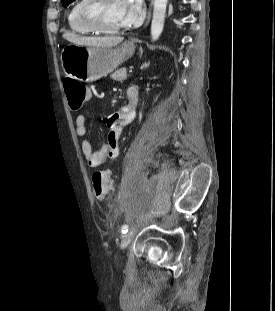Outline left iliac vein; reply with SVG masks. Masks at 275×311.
I'll return each instance as SVG.
<instances>
[{
	"label": "left iliac vein",
	"mask_w": 275,
	"mask_h": 311,
	"mask_svg": "<svg viewBox=\"0 0 275 311\" xmlns=\"http://www.w3.org/2000/svg\"><path fill=\"white\" fill-rule=\"evenodd\" d=\"M134 235H135L134 231H129L122 236L121 244H120L121 249H125L129 245Z\"/></svg>",
	"instance_id": "1"
}]
</instances>
